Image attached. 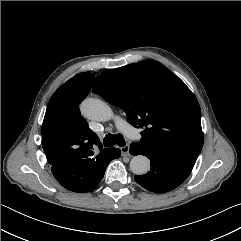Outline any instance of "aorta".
I'll return each instance as SVG.
<instances>
[{
    "label": "aorta",
    "instance_id": "762f6f07",
    "mask_svg": "<svg viewBox=\"0 0 241 241\" xmlns=\"http://www.w3.org/2000/svg\"><path fill=\"white\" fill-rule=\"evenodd\" d=\"M81 112L88 119L107 121L113 117L108 103L96 98H87L81 103ZM130 170L136 175H144L150 170V160L144 155L134 156L130 161Z\"/></svg>",
    "mask_w": 241,
    "mask_h": 241
}]
</instances>
